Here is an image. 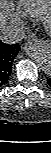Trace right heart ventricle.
Returning a JSON list of instances; mask_svg holds the SVG:
<instances>
[{
  "label": "right heart ventricle",
  "mask_w": 51,
  "mask_h": 153,
  "mask_svg": "<svg viewBox=\"0 0 51 153\" xmlns=\"http://www.w3.org/2000/svg\"><path fill=\"white\" fill-rule=\"evenodd\" d=\"M25 17L41 19L51 9V0H19Z\"/></svg>",
  "instance_id": "e07e8e85"
}]
</instances>
